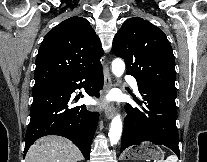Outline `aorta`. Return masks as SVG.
Segmentation results:
<instances>
[{"label":"aorta","mask_w":207,"mask_h":162,"mask_svg":"<svg viewBox=\"0 0 207 162\" xmlns=\"http://www.w3.org/2000/svg\"><path fill=\"white\" fill-rule=\"evenodd\" d=\"M125 71V63L122 59L116 58L112 62V72L116 77H121ZM122 134V120L120 115L112 119L109 129V140L111 145H115L120 140Z\"/></svg>","instance_id":"762f6f07"}]
</instances>
